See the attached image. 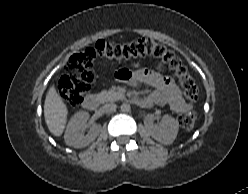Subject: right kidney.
<instances>
[{"instance_id":"obj_1","label":"right kidney","mask_w":248,"mask_h":194,"mask_svg":"<svg viewBox=\"0 0 248 194\" xmlns=\"http://www.w3.org/2000/svg\"><path fill=\"white\" fill-rule=\"evenodd\" d=\"M89 119L85 111L77 112L69 121L64 135L65 143L74 148H83L93 142L101 131V125L94 124L87 135H83V129Z\"/></svg>"}]
</instances>
